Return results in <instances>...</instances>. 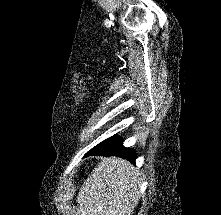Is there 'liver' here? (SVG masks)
<instances>
[{
  "label": "liver",
  "mask_w": 221,
  "mask_h": 215,
  "mask_svg": "<svg viewBox=\"0 0 221 215\" xmlns=\"http://www.w3.org/2000/svg\"><path fill=\"white\" fill-rule=\"evenodd\" d=\"M139 188V174L130 162L102 158L78 192L73 215H132Z\"/></svg>",
  "instance_id": "obj_1"
}]
</instances>
